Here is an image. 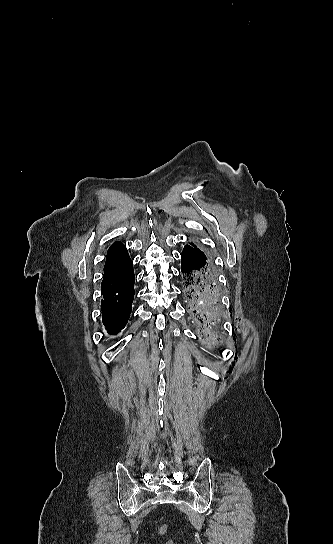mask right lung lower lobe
<instances>
[{
  "instance_id": "obj_1",
  "label": "right lung lower lobe",
  "mask_w": 333,
  "mask_h": 544,
  "mask_svg": "<svg viewBox=\"0 0 333 544\" xmlns=\"http://www.w3.org/2000/svg\"><path fill=\"white\" fill-rule=\"evenodd\" d=\"M102 319L109 334H116L128 322L134 298L132 262L117 275L102 281Z\"/></svg>"
}]
</instances>
